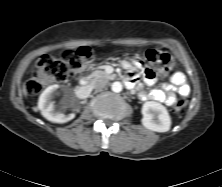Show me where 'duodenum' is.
<instances>
[{
    "label": "duodenum",
    "instance_id": "duodenum-1",
    "mask_svg": "<svg viewBox=\"0 0 222 187\" xmlns=\"http://www.w3.org/2000/svg\"><path fill=\"white\" fill-rule=\"evenodd\" d=\"M125 81L129 85H132V82H131V80L129 78H125ZM89 92H90V84H89L87 79H83L81 81V84H80L79 94L82 95V96H85V95H88Z\"/></svg>",
    "mask_w": 222,
    "mask_h": 187
}]
</instances>
